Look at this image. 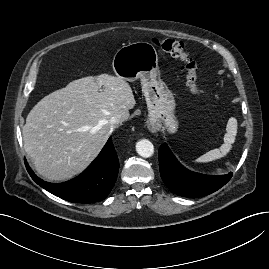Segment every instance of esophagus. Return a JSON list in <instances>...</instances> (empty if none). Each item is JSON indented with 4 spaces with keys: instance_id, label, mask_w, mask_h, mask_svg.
<instances>
[{
    "instance_id": "esophagus-1",
    "label": "esophagus",
    "mask_w": 269,
    "mask_h": 269,
    "mask_svg": "<svg viewBox=\"0 0 269 269\" xmlns=\"http://www.w3.org/2000/svg\"><path fill=\"white\" fill-rule=\"evenodd\" d=\"M148 130L152 133H156L158 131V126L153 120H149L147 124Z\"/></svg>"
}]
</instances>
